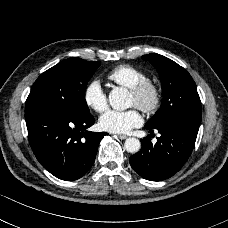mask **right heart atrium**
Returning <instances> with one entry per match:
<instances>
[{
  "instance_id": "right-heart-atrium-1",
  "label": "right heart atrium",
  "mask_w": 228,
  "mask_h": 228,
  "mask_svg": "<svg viewBox=\"0 0 228 228\" xmlns=\"http://www.w3.org/2000/svg\"><path fill=\"white\" fill-rule=\"evenodd\" d=\"M83 100L89 108L98 113L107 109V92L99 79H92L86 84L83 91Z\"/></svg>"
}]
</instances>
